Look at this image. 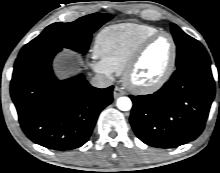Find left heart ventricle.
<instances>
[{
  "mask_svg": "<svg viewBox=\"0 0 220 173\" xmlns=\"http://www.w3.org/2000/svg\"><path fill=\"white\" fill-rule=\"evenodd\" d=\"M171 57V43L163 36L152 42L143 53L131 80L136 84H150L166 70Z\"/></svg>",
  "mask_w": 220,
  "mask_h": 173,
  "instance_id": "b2bd125f",
  "label": "left heart ventricle"
}]
</instances>
